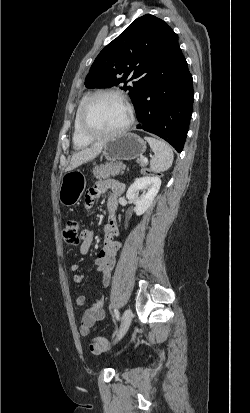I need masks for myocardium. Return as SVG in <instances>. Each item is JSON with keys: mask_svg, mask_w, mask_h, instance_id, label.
<instances>
[{"mask_svg": "<svg viewBox=\"0 0 250 413\" xmlns=\"http://www.w3.org/2000/svg\"><path fill=\"white\" fill-rule=\"evenodd\" d=\"M105 95H109V96H114L118 99H120L125 106L127 107L128 110V120L126 122V124L124 126H122L121 128L115 130V131H111V132H98L95 130H92L87 122V116H88V112L89 109L92 105V103L100 96H105ZM135 121V111L134 108L132 106V104L130 103V101L127 99V97L120 91L118 90H114V89H102V90H98L95 91L94 93L90 94L87 99L85 100L82 108H81V112H80V119H79V124H80V129L82 131V133L87 136L88 138L93 139H108V138H113V137H117L120 136L122 134H124L125 132H127L130 127L133 125Z\"/></svg>", "mask_w": 250, "mask_h": 413, "instance_id": "myocardium-1", "label": "myocardium"}]
</instances>
